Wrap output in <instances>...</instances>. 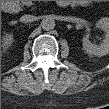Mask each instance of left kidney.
I'll return each instance as SVG.
<instances>
[{
	"label": "left kidney",
	"mask_w": 109,
	"mask_h": 109,
	"mask_svg": "<svg viewBox=\"0 0 109 109\" xmlns=\"http://www.w3.org/2000/svg\"><path fill=\"white\" fill-rule=\"evenodd\" d=\"M97 25L105 32L103 42L100 45H94L89 41L88 36H84L83 49L90 55L104 56L109 53V21L107 18H101Z\"/></svg>",
	"instance_id": "left-kidney-1"
}]
</instances>
